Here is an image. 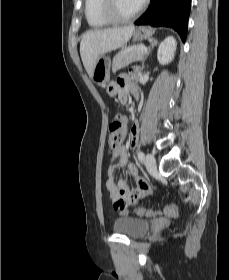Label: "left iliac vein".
<instances>
[{"instance_id":"obj_1","label":"left iliac vein","mask_w":229,"mask_h":280,"mask_svg":"<svg viewBox=\"0 0 229 280\" xmlns=\"http://www.w3.org/2000/svg\"><path fill=\"white\" fill-rule=\"evenodd\" d=\"M145 166L146 169L150 172V171H155L156 170V160L155 157L148 153L145 157Z\"/></svg>"}]
</instances>
